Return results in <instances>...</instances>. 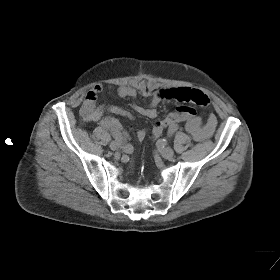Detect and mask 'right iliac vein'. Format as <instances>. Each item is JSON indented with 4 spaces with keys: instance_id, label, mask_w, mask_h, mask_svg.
I'll return each instance as SVG.
<instances>
[{
    "instance_id": "63e3f726",
    "label": "right iliac vein",
    "mask_w": 280,
    "mask_h": 280,
    "mask_svg": "<svg viewBox=\"0 0 280 280\" xmlns=\"http://www.w3.org/2000/svg\"><path fill=\"white\" fill-rule=\"evenodd\" d=\"M110 149L115 151L118 150L120 148V144L116 141H112L109 145Z\"/></svg>"
}]
</instances>
